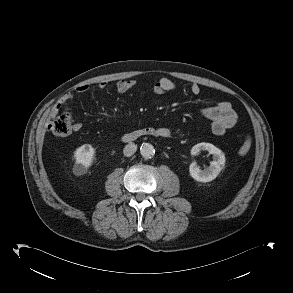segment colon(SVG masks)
Returning a JSON list of instances; mask_svg holds the SVG:
<instances>
[{
  "label": "colon",
  "instance_id": "1",
  "mask_svg": "<svg viewBox=\"0 0 293 293\" xmlns=\"http://www.w3.org/2000/svg\"><path fill=\"white\" fill-rule=\"evenodd\" d=\"M49 131L56 136H65L71 132V115L67 108H57L51 118ZM252 146L250 137H246L239 148V154L244 156L248 154Z\"/></svg>",
  "mask_w": 293,
  "mask_h": 293
}]
</instances>
